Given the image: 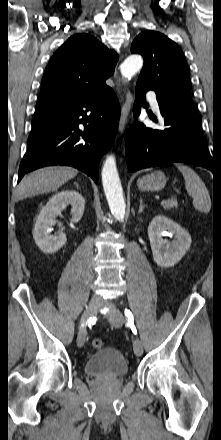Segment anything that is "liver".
I'll use <instances>...</instances> for the list:
<instances>
[{"mask_svg": "<svg viewBox=\"0 0 221 440\" xmlns=\"http://www.w3.org/2000/svg\"><path fill=\"white\" fill-rule=\"evenodd\" d=\"M72 167L55 166L36 170L24 177L16 191L17 199L56 191L61 185L77 175Z\"/></svg>", "mask_w": 221, "mask_h": 440, "instance_id": "1", "label": "liver"}]
</instances>
